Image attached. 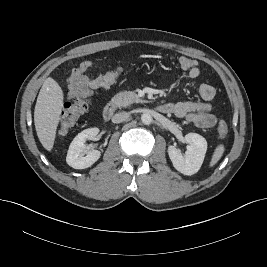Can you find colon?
Listing matches in <instances>:
<instances>
[{"label": "colon", "instance_id": "1", "mask_svg": "<svg viewBox=\"0 0 267 267\" xmlns=\"http://www.w3.org/2000/svg\"><path fill=\"white\" fill-rule=\"evenodd\" d=\"M179 63L184 70H190L197 66L195 60L187 57H182L179 60ZM126 71V68L119 67L102 74L99 80V88L110 87ZM89 104L90 101L88 97L81 95H76L71 98L70 101L66 102L59 122L58 134L60 136H65L72 130L78 119L88 110ZM217 132L221 138H224L228 134V126L226 122H219Z\"/></svg>", "mask_w": 267, "mask_h": 267}]
</instances>
